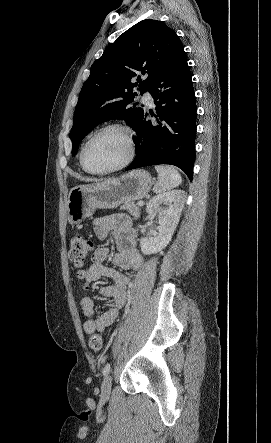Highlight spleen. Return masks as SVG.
Listing matches in <instances>:
<instances>
[{
  "mask_svg": "<svg viewBox=\"0 0 271 443\" xmlns=\"http://www.w3.org/2000/svg\"><path fill=\"white\" fill-rule=\"evenodd\" d=\"M155 170L158 174V182L153 188L155 194H163L180 186L182 178L173 166H155Z\"/></svg>",
  "mask_w": 271,
  "mask_h": 443,
  "instance_id": "spleen-1",
  "label": "spleen"
}]
</instances>
